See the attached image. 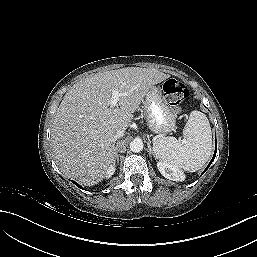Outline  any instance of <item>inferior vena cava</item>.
<instances>
[{"mask_svg": "<svg viewBox=\"0 0 257 257\" xmlns=\"http://www.w3.org/2000/svg\"><path fill=\"white\" fill-rule=\"evenodd\" d=\"M124 132H125V131L122 130V129L116 130L115 133H114L113 136H112V141L115 142L117 139L123 137Z\"/></svg>", "mask_w": 257, "mask_h": 257, "instance_id": "obj_1", "label": "inferior vena cava"}]
</instances>
